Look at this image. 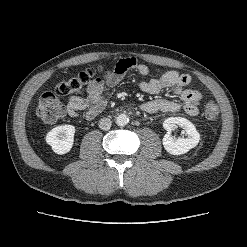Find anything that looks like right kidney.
<instances>
[{"instance_id":"obj_1","label":"right kidney","mask_w":247,"mask_h":247,"mask_svg":"<svg viewBox=\"0 0 247 247\" xmlns=\"http://www.w3.org/2000/svg\"><path fill=\"white\" fill-rule=\"evenodd\" d=\"M75 127L72 125H62L53 128L46 135V142L57 154L68 153L74 144Z\"/></svg>"}]
</instances>
